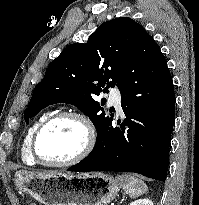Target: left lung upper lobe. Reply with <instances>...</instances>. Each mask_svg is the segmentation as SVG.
<instances>
[{
  "mask_svg": "<svg viewBox=\"0 0 199 205\" xmlns=\"http://www.w3.org/2000/svg\"><path fill=\"white\" fill-rule=\"evenodd\" d=\"M144 32L133 19L120 17L100 25L87 43L67 46L34 88L24 112L26 123L48 105L69 103L89 116L99 135L114 115L105 114L96 96L108 93L109 85L120 87Z\"/></svg>",
  "mask_w": 199,
  "mask_h": 205,
  "instance_id": "1",
  "label": "left lung upper lobe"
}]
</instances>
